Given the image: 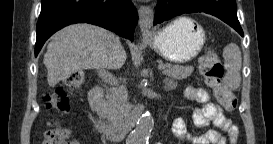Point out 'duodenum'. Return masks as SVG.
<instances>
[{
  "label": "duodenum",
  "mask_w": 273,
  "mask_h": 144,
  "mask_svg": "<svg viewBox=\"0 0 273 144\" xmlns=\"http://www.w3.org/2000/svg\"><path fill=\"white\" fill-rule=\"evenodd\" d=\"M89 106L93 129L112 142L121 141L127 134L129 126L135 125L144 113V109L140 107L131 114L127 121L121 124H115L108 121L105 117L103 90L99 85L92 87L90 90Z\"/></svg>",
  "instance_id": "obj_1"
}]
</instances>
